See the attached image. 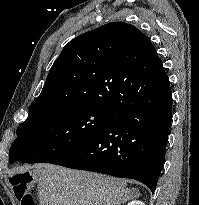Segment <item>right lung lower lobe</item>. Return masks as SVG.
I'll return each instance as SVG.
<instances>
[{"instance_id":"98d812e1","label":"right lung lower lobe","mask_w":199,"mask_h":205,"mask_svg":"<svg viewBox=\"0 0 199 205\" xmlns=\"http://www.w3.org/2000/svg\"><path fill=\"white\" fill-rule=\"evenodd\" d=\"M132 104L113 111L108 125L86 143L49 162L145 184L154 193L164 165L172 118V91L165 73Z\"/></svg>"}]
</instances>
